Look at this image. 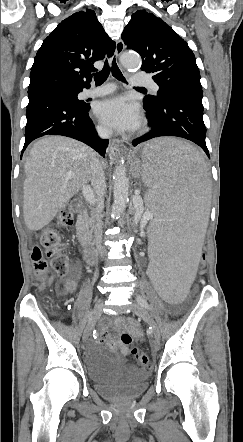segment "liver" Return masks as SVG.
<instances>
[{
  "label": "liver",
  "instance_id": "6515ba94",
  "mask_svg": "<svg viewBox=\"0 0 243 442\" xmlns=\"http://www.w3.org/2000/svg\"><path fill=\"white\" fill-rule=\"evenodd\" d=\"M96 158L93 149L68 137L46 136L33 144L24 165L23 216L29 230L48 225L87 185ZM68 172L74 173L71 179L64 177Z\"/></svg>",
  "mask_w": 243,
  "mask_h": 442
}]
</instances>
